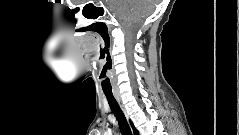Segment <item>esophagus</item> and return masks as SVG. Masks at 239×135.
Listing matches in <instances>:
<instances>
[{"instance_id":"obj_1","label":"esophagus","mask_w":239,"mask_h":135,"mask_svg":"<svg viewBox=\"0 0 239 135\" xmlns=\"http://www.w3.org/2000/svg\"><path fill=\"white\" fill-rule=\"evenodd\" d=\"M114 95H115V98H116L118 104L120 105L121 109H122L123 111H125L124 106H123L122 101H121L120 95H119L118 93H115Z\"/></svg>"}]
</instances>
